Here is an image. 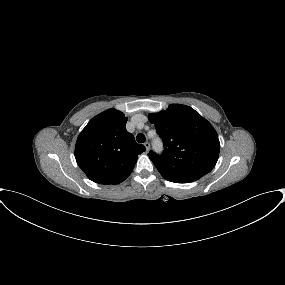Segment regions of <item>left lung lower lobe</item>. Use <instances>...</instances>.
Here are the masks:
<instances>
[{
    "mask_svg": "<svg viewBox=\"0 0 285 285\" xmlns=\"http://www.w3.org/2000/svg\"><path fill=\"white\" fill-rule=\"evenodd\" d=\"M171 182H175V183H189V181H171Z\"/></svg>",
    "mask_w": 285,
    "mask_h": 285,
    "instance_id": "1",
    "label": "left lung lower lobe"
}]
</instances>
